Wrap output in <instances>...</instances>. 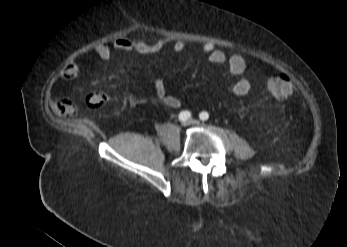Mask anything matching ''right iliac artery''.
Instances as JSON below:
<instances>
[{
	"instance_id": "82829eb1",
	"label": "right iliac artery",
	"mask_w": 347,
	"mask_h": 247,
	"mask_svg": "<svg viewBox=\"0 0 347 247\" xmlns=\"http://www.w3.org/2000/svg\"><path fill=\"white\" fill-rule=\"evenodd\" d=\"M191 117V113L189 111H182L179 114V120L184 122Z\"/></svg>"
}]
</instances>
